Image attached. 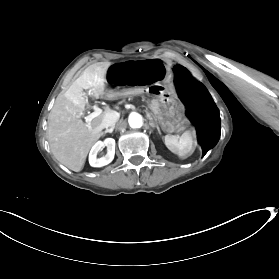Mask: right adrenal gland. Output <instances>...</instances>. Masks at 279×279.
Returning a JSON list of instances; mask_svg holds the SVG:
<instances>
[{
  "mask_svg": "<svg viewBox=\"0 0 279 279\" xmlns=\"http://www.w3.org/2000/svg\"><path fill=\"white\" fill-rule=\"evenodd\" d=\"M114 127H115V126L111 127L110 129L107 128L102 134L104 135V134H106V133H108V132L111 133V132L114 130Z\"/></svg>",
  "mask_w": 279,
  "mask_h": 279,
  "instance_id": "right-adrenal-gland-1",
  "label": "right adrenal gland"
}]
</instances>
